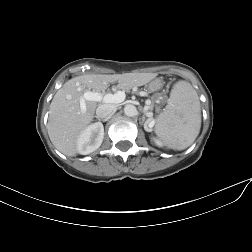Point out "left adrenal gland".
<instances>
[{
    "label": "left adrenal gland",
    "instance_id": "obj_1",
    "mask_svg": "<svg viewBox=\"0 0 252 252\" xmlns=\"http://www.w3.org/2000/svg\"><path fill=\"white\" fill-rule=\"evenodd\" d=\"M144 113H145V111H144ZM145 119V116H143V120ZM150 121H151V119L149 118V119H147L146 121H145V123H144V128L146 129L147 128V125L150 123Z\"/></svg>",
    "mask_w": 252,
    "mask_h": 252
}]
</instances>
